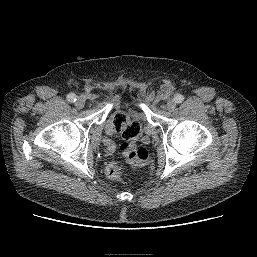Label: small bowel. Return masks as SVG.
<instances>
[{
    "label": "small bowel",
    "instance_id": "obj_1",
    "mask_svg": "<svg viewBox=\"0 0 257 257\" xmlns=\"http://www.w3.org/2000/svg\"><path fill=\"white\" fill-rule=\"evenodd\" d=\"M131 115L135 119L134 121H136L138 123L139 122H143L145 124L144 134L142 136V139L144 141H146L148 136H149V133H150V126H149V124H148V122L146 120V117H145L144 113L141 110L136 109V110H132L131 111Z\"/></svg>",
    "mask_w": 257,
    "mask_h": 257
}]
</instances>
